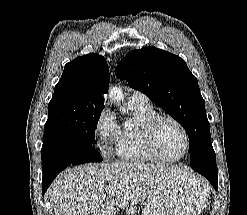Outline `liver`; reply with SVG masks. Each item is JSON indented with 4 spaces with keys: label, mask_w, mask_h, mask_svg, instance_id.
Listing matches in <instances>:
<instances>
[{
    "label": "liver",
    "mask_w": 247,
    "mask_h": 215,
    "mask_svg": "<svg viewBox=\"0 0 247 215\" xmlns=\"http://www.w3.org/2000/svg\"><path fill=\"white\" fill-rule=\"evenodd\" d=\"M185 170L163 163L88 164L66 169L47 196L55 215H116L148 199L166 180Z\"/></svg>",
    "instance_id": "6515ba94"
}]
</instances>
